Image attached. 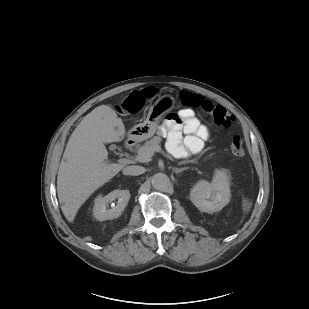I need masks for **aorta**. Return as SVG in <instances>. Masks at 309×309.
Instances as JSON below:
<instances>
[{"instance_id":"762f6f07","label":"aorta","mask_w":309,"mask_h":309,"mask_svg":"<svg viewBox=\"0 0 309 309\" xmlns=\"http://www.w3.org/2000/svg\"><path fill=\"white\" fill-rule=\"evenodd\" d=\"M151 183L154 189L163 191L169 184V177L164 173H157L152 176Z\"/></svg>"}]
</instances>
